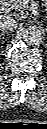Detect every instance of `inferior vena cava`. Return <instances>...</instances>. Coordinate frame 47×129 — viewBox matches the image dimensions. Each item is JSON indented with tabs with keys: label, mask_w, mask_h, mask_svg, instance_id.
Returning <instances> with one entry per match:
<instances>
[{
	"label": "inferior vena cava",
	"mask_w": 47,
	"mask_h": 129,
	"mask_svg": "<svg viewBox=\"0 0 47 129\" xmlns=\"http://www.w3.org/2000/svg\"><path fill=\"white\" fill-rule=\"evenodd\" d=\"M1 30L13 31L17 28V22L11 17H2L0 22Z\"/></svg>",
	"instance_id": "602c4592"
}]
</instances>
